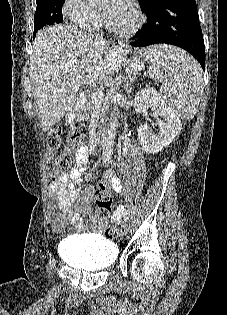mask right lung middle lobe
I'll return each instance as SVG.
<instances>
[{"instance_id":"right-lung-middle-lobe-1","label":"right lung middle lobe","mask_w":227,"mask_h":315,"mask_svg":"<svg viewBox=\"0 0 227 315\" xmlns=\"http://www.w3.org/2000/svg\"><path fill=\"white\" fill-rule=\"evenodd\" d=\"M65 0H36L37 9L34 15V35L36 30L46 25L63 21L62 6Z\"/></svg>"}]
</instances>
